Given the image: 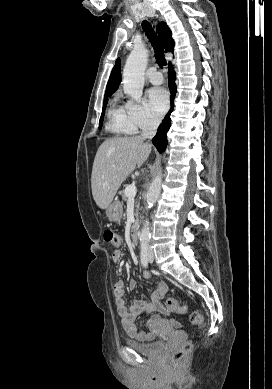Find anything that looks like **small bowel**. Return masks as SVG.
I'll return each instance as SVG.
<instances>
[{"mask_svg": "<svg viewBox=\"0 0 272 389\" xmlns=\"http://www.w3.org/2000/svg\"><path fill=\"white\" fill-rule=\"evenodd\" d=\"M122 252L116 250L112 254V260L114 262H120L122 259ZM145 278H150L149 273H144ZM137 283L135 280L129 282V288L135 289ZM169 291V286L162 282L149 298H139L133 301L131 305H127L125 302V283L123 280H118L114 284V297L116 302V308L121 320L122 327L126 334L138 341H150L155 337L154 327L159 320V316L153 315L148 321L147 325L149 331H138L135 327V321L143 312H158L166 314L164 306L161 304V300L166 296ZM172 324H176L175 321H171Z\"/></svg>", "mask_w": 272, "mask_h": 389, "instance_id": "small-bowel-1", "label": "small bowel"}]
</instances>
